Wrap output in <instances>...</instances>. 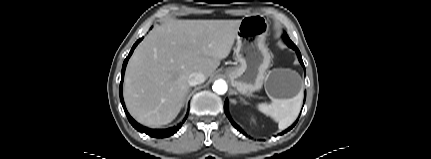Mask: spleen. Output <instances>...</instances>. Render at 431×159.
Instances as JSON below:
<instances>
[{
	"label": "spleen",
	"mask_w": 431,
	"mask_h": 159,
	"mask_svg": "<svg viewBox=\"0 0 431 159\" xmlns=\"http://www.w3.org/2000/svg\"><path fill=\"white\" fill-rule=\"evenodd\" d=\"M303 100V91L291 99H272L270 104H258V110L278 122L280 130L289 127L297 118Z\"/></svg>",
	"instance_id": "obj_1"
}]
</instances>
